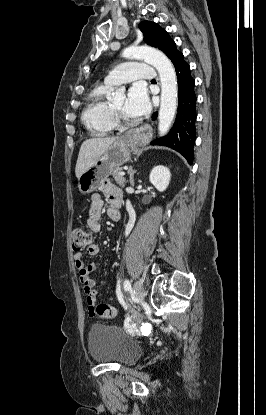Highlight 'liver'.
<instances>
[{"instance_id":"liver-1","label":"liver","mask_w":266,"mask_h":415,"mask_svg":"<svg viewBox=\"0 0 266 415\" xmlns=\"http://www.w3.org/2000/svg\"><path fill=\"white\" fill-rule=\"evenodd\" d=\"M118 139L120 138L106 137L85 140L82 143L78 154L75 167L76 177L79 178L84 172H86L105 152V150Z\"/></svg>"}]
</instances>
